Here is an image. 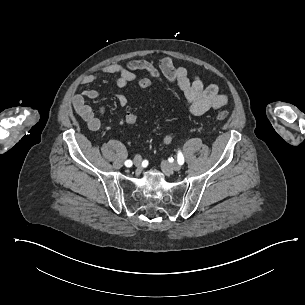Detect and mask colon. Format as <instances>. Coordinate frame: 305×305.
Returning a JSON list of instances; mask_svg holds the SVG:
<instances>
[{
  "label": "colon",
  "mask_w": 305,
  "mask_h": 305,
  "mask_svg": "<svg viewBox=\"0 0 305 305\" xmlns=\"http://www.w3.org/2000/svg\"><path fill=\"white\" fill-rule=\"evenodd\" d=\"M155 80L152 77L149 78H144L140 81L139 86L141 89L146 90L150 86L154 85ZM228 117V112L226 111H219L216 113V118L219 120L226 119ZM138 120L137 114L134 112H128L125 117L124 121L127 124H135ZM172 142V135L171 134H166L163 137V143L168 145Z\"/></svg>",
  "instance_id": "5ec220e1"
}]
</instances>
